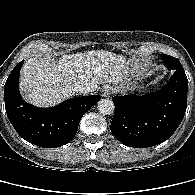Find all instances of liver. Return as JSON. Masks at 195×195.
<instances>
[{
	"instance_id": "obj_1",
	"label": "liver",
	"mask_w": 195,
	"mask_h": 195,
	"mask_svg": "<svg viewBox=\"0 0 195 195\" xmlns=\"http://www.w3.org/2000/svg\"><path fill=\"white\" fill-rule=\"evenodd\" d=\"M135 75L138 70L126 57L105 50L63 55L59 61L33 56L22 67L20 90L27 102L49 107L72 97L78 85L96 91L98 84L112 83L125 89Z\"/></svg>"
}]
</instances>
